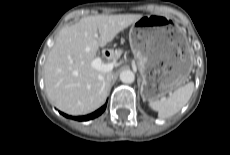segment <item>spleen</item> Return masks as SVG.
<instances>
[{
	"mask_svg": "<svg viewBox=\"0 0 230 155\" xmlns=\"http://www.w3.org/2000/svg\"><path fill=\"white\" fill-rule=\"evenodd\" d=\"M193 91L194 83L189 82L176 89L169 97H163L160 100L149 102V106L158 112L160 118L171 117L188 103Z\"/></svg>",
	"mask_w": 230,
	"mask_h": 155,
	"instance_id": "1",
	"label": "spleen"
}]
</instances>
